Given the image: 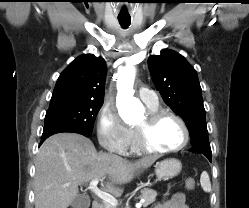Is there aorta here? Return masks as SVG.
Segmentation results:
<instances>
[{
    "mask_svg": "<svg viewBox=\"0 0 249 208\" xmlns=\"http://www.w3.org/2000/svg\"><path fill=\"white\" fill-rule=\"evenodd\" d=\"M117 82V108L120 117L126 123H132L143 116L144 107L139 99L134 97L133 83L135 68L127 65L119 69Z\"/></svg>",
    "mask_w": 249,
    "mask_h": 208,
    "instance_id": "aorta-1",
    "label": "aorta"
}]
</instances>
